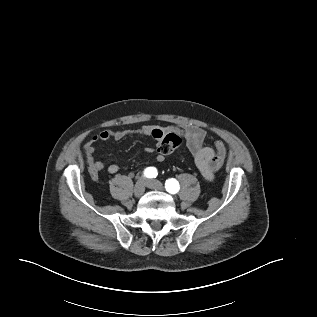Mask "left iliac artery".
Wrapping results in <instances>:
<instances>
[{
  "instance_id": "44dca946",
  "label": "left iliac artery",
  "mask_w": 317,
  "mask_h": 317,
  "mask_svg": "<svg viewBox=\"0 0 317 317\" xmlns=\"http://www.w3.org/2000/svg\"><path fill=\"white\" fill-rule=\"evenodd\" d=\"M165 188L169 193L175 194L179 191L180 185L176 179L171 178V179L166 180Z\"/></svg>"
}]
</instances>
